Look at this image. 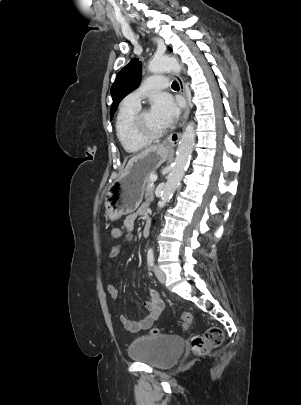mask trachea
Segmentation results:
<instances>
[{"mask_svg": "<svg viewBox=\"0 0 301 405\" xmlns=\"http://www.w3.org/2000/svg\"><path fill=\"white\" fill-rule=\"evenodd\" d=\"M172 89H174V90L179 89V84H178L176 81H174V82L172 83Z\"/></svg>", "mask_w": 301, "mask_h": 405, "instance_id": "trachea-1", "label": "trachea"}]
</instances>
